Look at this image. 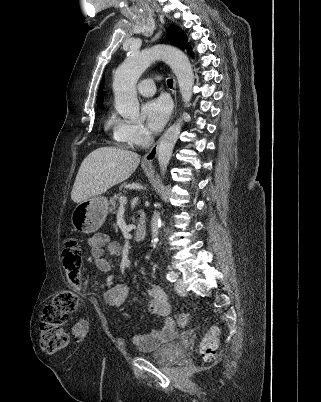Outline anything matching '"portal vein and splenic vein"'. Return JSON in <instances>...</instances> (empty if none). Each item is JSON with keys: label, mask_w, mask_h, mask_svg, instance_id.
I'll list each match as a JSON object with an SVG mask.
<instances>
[{"label": "portal vein and splenic vein", "mask_w": 321, "mask_h": 402, "mask_svg": "<svg viewBox=\"0 0 321 402\" xmlns=\"http://www.w3.org/2000/svg\"><path fill=\"white\" fill-rule=\"evenodd\" d=\"M119 203H120V207H124L127 204L126 197H120Z\"/></svg>", "instance_id": "1"}]
</instances>
